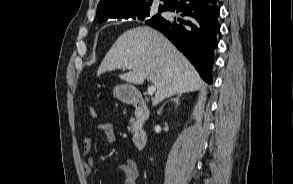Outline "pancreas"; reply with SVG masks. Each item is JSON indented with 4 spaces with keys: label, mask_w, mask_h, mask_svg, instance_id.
Returning a JSON list of instances; mask_svg holds the SVG:
<instances>
[{
    "label": "pancreas",
    "mask_w": 293,
    "mask_h": 184,
    "mask_svg": "<svg viewBox=\"0 0 293 184\" xmlns=\"http://www.w3.org/2000/svg\"><path fill=\"white\" fill-rule=\"evenodd\" d=\"M130 124H131V126L128 127V130L132 132L134 130V128H133L134 120L133 119L130 121Z\"/></svg>",
    "instance_id": "cf45deb5"
}]
</instances>
